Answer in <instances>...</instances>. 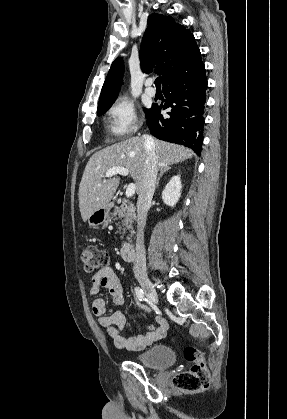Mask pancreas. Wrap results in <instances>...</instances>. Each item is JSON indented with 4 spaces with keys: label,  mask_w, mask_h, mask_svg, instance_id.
<instances>
[{
    "label": "pancreas",
    "mask_w": 287,
    "mask_h": 419,
    "mask_svg": "<svg viewBox=\"0 0 287 419\" xmlns=\"http://www.w3.org/2000/svg\"><path fill=\"white\" fill-rule=\"evenodd\" d=\"M136 208L132 203H129L127 200H123L122 204L119 207H115V212L113 216H119L122 221V226L124 227V233L126 230H133V225L136 220ZM132 232V231H131ZM129 240L130 238L127 237Z\"/></svg>",
    "instance_id": "pancreas-1"
}]
</instances>
